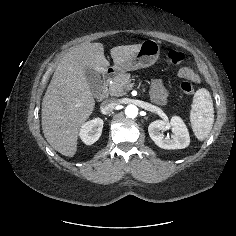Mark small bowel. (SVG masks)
Returning <instances> with one entry per match:
<instances>
[{
  "label": "small bowel",
  "mask_w": 236,
  "mask_h": 236,
  "mask_svg": "<svg viewBox=\"0 0 236 236\" xmlns=\"http://www.w3.org/2000/svg\"><path fill=\"white\" fill-rule=\"evenodd\" d=\"M179 76L182 78H188L193 81L198 80V76L189 67H183L179 71ZM151 97L152 99L160 104H164L168 100V92L161 80L155 79L151 82Z\"/></svg>",
  "instance_id": "obj_1"
}]
</instances>
